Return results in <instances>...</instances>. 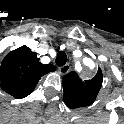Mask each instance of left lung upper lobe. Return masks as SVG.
<instances>
[{"mask_svg":"<svg viewBox=\"0 0 124 124\" xmlns=\"http://www.w3.org/2000/svg\"><path fill=\"white\" fill-rule=\"evenodd\" d=\"M102 72L98 70L91 80L82 81L75 72L63 79L64 101L72 109L91 105L102 85Z\"/></svg>","mask_w":124,"mask_h":124,"instance_id":"1","label":"left lung upper lobe"}]
</instances>
